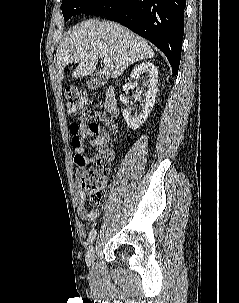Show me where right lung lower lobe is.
I'll list each match as a JSON object with an SVG mask.
<instances>
[{
  "label": "right lung lower lobe",
  "mask_w": 239,
  "mask_h": 303,
  "mask_svg": "<svg viewBox=\"0 0 239 303\" xmlns=\"http://www.w3.org/2000/svg\"><path fill=\"white\" fill-rule=\"evenodd\" d=\"M185 0H106L89 14L116 21L156 45L176 76L184 34Z\"/></svg>",
  "instance_id": "98d812e1"
}]
</instances>
